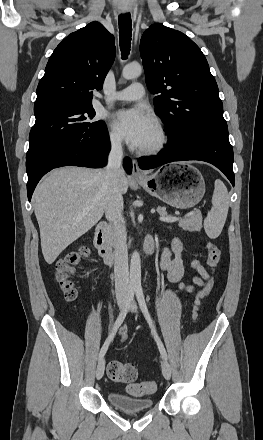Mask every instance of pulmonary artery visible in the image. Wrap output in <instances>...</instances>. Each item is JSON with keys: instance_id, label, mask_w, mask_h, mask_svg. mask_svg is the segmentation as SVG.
I'll list each match as a JSON object with an SVG mask.
<instances>
[{"instance_id": "1", "label": "pulmonary artery", "mask_w": 263, "mask_h": 440, "mask_svg": "<svg viewBox=\"0 0 263 440\" xmlns=\"http://www.w3.org/2000/svg\"><path fill=\"white\" fill-rule=\"evenodd\" d=\"M145 89L142 83L135 82L128 87L115 92L111 99L114 101H137L144 97Z\"/></svg>"}]
</instances>
